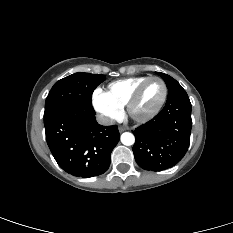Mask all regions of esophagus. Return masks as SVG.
<instances>
[{"instance_id": "esophagus-1", "label": "esophagus", "mask_w": 233, "mask_h": 233, "mask_svg": "<svg viewBox=\"0 0 233 233\" xmlns=\"http://www.w3.org/2000/svg\"><path fill=\"white\" fill-rule=\"evenodd\" d=\"M125 130H126L125 127H123V126H120V127H119V132H120V133L124 132Z\"/></svg>"}]
</instances>
